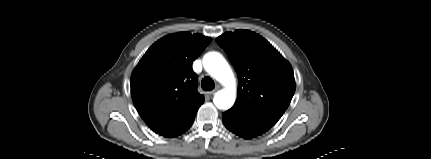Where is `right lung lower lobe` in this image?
Returning a JSON list of instances; mask_svg holds the SVG:
<instances>
[{"instance_id": "98d812e1", "label": "right lung lower lobe", "mask_w": 431, "mask_h": 159, "mask_svg": "<svg viewBox=\"0 0 431 159\" xmlns=\"http://www.w3.org/2000/svg\"><path fill=\"white\" fill-rule=\"evenodd\" d=\"M192 123H193V122H192ZM192 123L190 124V126L192 125ZM190 126H189V127H190ZM189 127H188L187 129H189Z\"/></svg>"}]
</instances>
